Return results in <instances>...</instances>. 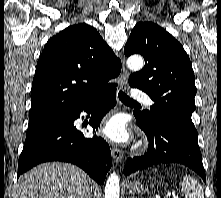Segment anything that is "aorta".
I'll use <instances>...</instances> for the list:
<instances>
[{
  "label": "aorta",
  "mask_w": 221,
  "mask_h": 198,
  "mask_svg": "<svg viewBox=\"0 0 221 198\" xmlns=\"http://www.w3.org/2000/svg\"><path fill=\"white\" fill-rule=\"evenodd\" d=\"M127 66L131 70H139L143 67V59L137 55L131 56L127 60ZM119 193V177L116 173H112L106 181L104 198H119Z\"/></svg>",
  "instance_id": "obj_1"
}]
</instances>
